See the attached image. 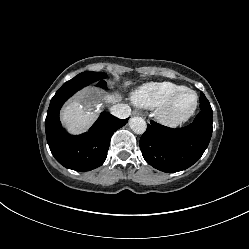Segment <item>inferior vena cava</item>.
<instances>
[{"label":"inferior vena cava","instance_id":"inferior-vena-cava-1","mask_svg":"<svg viewBox=\"0 0 249 249\" xmlns=\"http://www.w3.org/2000/svg\"><path fill=\"white\" fill-rule=\"evenodd\" d=\"M111 114L120 118L125 119L129 117L131 108L127 104H116L110 108Z\"/></svg>","mask_w":249,"mask_h":249}]
</instances>
